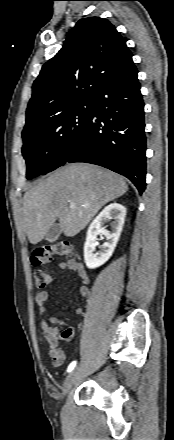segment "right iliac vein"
Here are the masks:
<instances>
[{"label": "right iliac vein", "instance_id": "63e3f726", "mask_svg": "<svg viewBox=\"0 0 174 440\" xmlns=\"http://www.w3.org/2000/svg\"><path fill=\"white\" fill-rule=\"evenodd\" d=\"M77 375V369H74L65 379L63 388H62V396L66 395L70 389L72 388L75 378Z\"/></svg>", "mask_w": 174, "mask_h": 440}]
</instances>
